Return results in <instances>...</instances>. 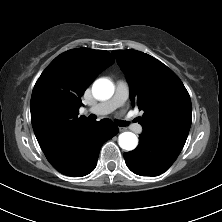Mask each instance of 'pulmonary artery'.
Masks as SVG:
<instances>
[{
	"mask_svg": "<svg viewBox=\"0 0 222 222\" xmlns=\"http://www.w3.org/2000/svg\"><path fill=\"white\" fill-rule=\"evenodd\" d=\"M129 92H130L129 85L125 81L119 80L116 83L115 93L111 99L99 103L95 106H92L86 109L85 111L97 115L109 114L118 107H121L126 102V100L129 97ZM132 128L136 132L142 131V127L139 124H134Z\"/></svg>",
	"mask_w": 222,
	"mask_h": 222,
	"instance_id": "1",
	"label": "pulmonary artery"
}]
</instances>
